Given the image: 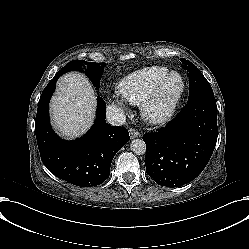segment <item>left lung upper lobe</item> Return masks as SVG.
Instances as JSON below:
<instances>
[{
  "label": "left lung upper lobe",
  "instance_id": "left-lung-upper-lobe-1",
  "mask_svg": "<svg viewBox=\"0 0 249 249\" xmlns=\"http://www.w3.org/2000/svg\"><path fill=\"white\" fill-rule=\"evenodd\" d=\"M180 60L185 64L184 66H182V68L187 70L189 76L188 99L205 95L214 96L209 82L205 79L198 68L190 61H186L184 58H181Z\"/></svg>",
  "mask_w": 249,
  "mask_h": 249
}]
</instances>
